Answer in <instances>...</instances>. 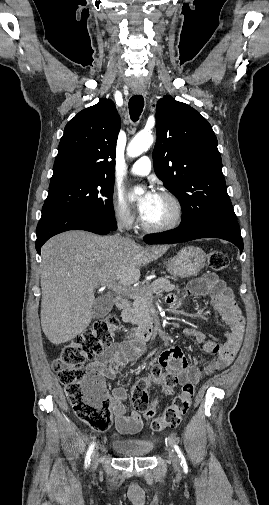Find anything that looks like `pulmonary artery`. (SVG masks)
I'll list each match as a JSON object with an SVG mask.
<instances>
[{
    "instance_id": "e3ab8cb5",
    "label": "pulmonary artery",
    "mask_w": 269,
    "mask_h": 505,
    "mask_svg": "<svg viewBox=\"0 0 269 505\" xmlns=\"http://www.w3.org/2000/svg\"><path fill=\"white\" fill-rule=\"evenodd\" d=\"M152 163L148 156H143L139 158L130 168V172L133 175L145 176L151 171Z\"/></svg>"
}]
</instances>
